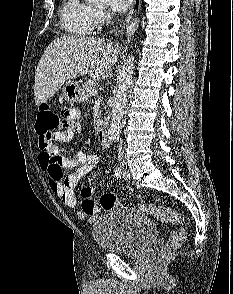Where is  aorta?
<instances>
[{
	"instance_id": "762f6f07",
	"label": "aorta",
	"mask_w": 233,
	"mask_h": 294,
	"mask_svg": "<svg viewBox=\"0 0 233 294\" xmlns=\"http://www.w3.org/2000/svg\"><path fill=\"white\" fill-rule=\"evenodd\" d=\"M89 4H104L107 0H86ZM134 69V57L129 55L122 66L117 78V84L114 90V103L110 127L108 129V138L111 141H116L120 137L122 118L125 112L127 95L130 84L132 82Z\"/></svg>"
}]
</instances>
